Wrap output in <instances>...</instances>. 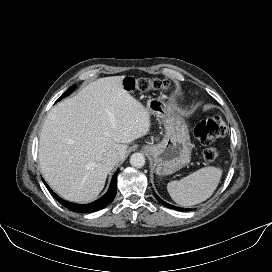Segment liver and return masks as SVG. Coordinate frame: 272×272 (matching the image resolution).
Listing matches in <instances>:
<instances>
[{"mask_svg":"<svg viewBox=\"0 0 272 272\" xmlns=\"http://www.w3.org/2000/svg\"><path fill=\"white\" fill-rule=\"evenodd\" d=\"M124 78H100L59 102L47 115L39 163L49 186L66 200L93 201L114 167L103 163V156L114 150L123 160L126 143L150 131V114L123 89Z\"/></svg>","mask_w":272,"mask_h":272,"instance_id":"liver-1","label":"liver"}]
</instances>
